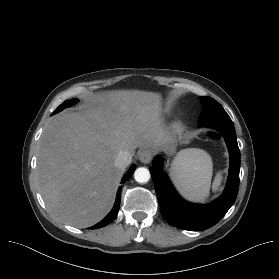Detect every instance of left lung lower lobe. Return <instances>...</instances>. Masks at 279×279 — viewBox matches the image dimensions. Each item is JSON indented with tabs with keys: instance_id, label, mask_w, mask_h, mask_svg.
<instances>
[{
	"instance_id": "left-lung-lower-lobe-1",
	"label": "left lung lower lobe",
	"mask_w": 279,
	"mask_h": 279,
	"mask_svg": "<svg viewBox=\"0 0 279 279\" xmlns=\"http://www.w3.org/2000/svg\"><path fill=\"white\" fill-rule=\"evenodd\" d=\"M211 127L224 136L230 153L229 177L224 193L208 205L190 204L177 194L161 168L162 160L155 158L150 167L163 218L172 226L190 230H205L215 225L233 205L239 188L240 150L233 122L210 121L200 124Z\"/></svg>"
}]
</instances>
